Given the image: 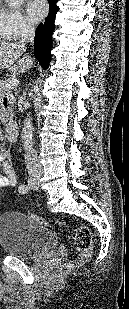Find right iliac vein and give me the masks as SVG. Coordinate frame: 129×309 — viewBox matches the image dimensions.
<instances>
[{
  "mask_svg": "<svg viewBox=\"0 0 129 309\" xmlns=\"http://www.w3.org/2000/svg\"><path fill=\"white\" fill-rule=\"evenodd\" d=\"M28 183H29V186L31 188H38L39 187V179L36 178V177H31L29 180H28Z\"/></svg>",
  "mask_w": 129,
  "mask_h": 309,
  "instance_id": "63e3f726",
  "label": "right iliac vein"
}]
</instances>
